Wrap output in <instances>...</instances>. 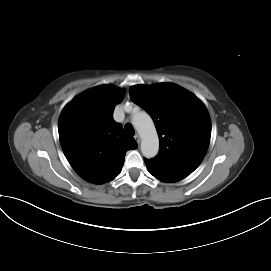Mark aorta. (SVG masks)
I'll return each mask as SVG.
<instances>
[{"label": "aorta", "mask_w": 271, "mask_h": 271, "mask_svg": "<svg viewBox=\"0 0 271 271\" xmlns=\"http://www.w3.org/2000/svg\"><path fill=\"white\" fill-rule=\"evenodd\" d=\"M132 122L141 137L142 154L145 158H154L159 151V139L151 117L146 112H138Z\"/></svg>", "instance_id": "obj_1"}]
</instances>
